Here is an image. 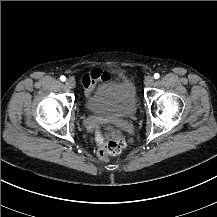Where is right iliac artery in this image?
Masks as SVG:
<instances>
[{
  "label": "right iliac artery",
  "instance_id": "82829eb1",
  "mask_svg": "<svg viewBox=\"0 0 217 217\" xmlns=\"http://www.w3.org/2000/svg\"><path fill=\"white\" fill-rule=\"evenodd\" d=\"M60 80H61V81H65V80H66V77L62 75V76L60 77Z\"/></svg>",
  "mask_w": 217,
  "mask_h": 217
}]
</instances>
